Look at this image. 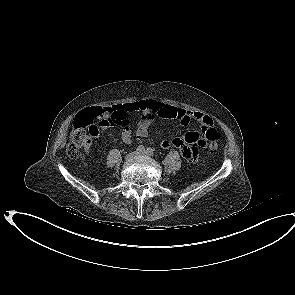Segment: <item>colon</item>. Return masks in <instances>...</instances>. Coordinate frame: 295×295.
I'll list each match as a JSON object with an SVG mask.
<instances>
[{
    "label": "colon",
    "mask_w": 295,
    "mask_h": 295,
    "mask_svg": "<svg viewBox=\"0 0 295 295\" xmlns=\"http://www.w3.org/2000/svg\"><path fill=\"white\" fill-rule=\"evenodd\" d=\"M109 108H95L78 115L72 125L70 133V141L67 146V155L71 159H77L80 156L82 148L87 147L91 140L98 135V127L96 122L100 121L102 116L110 114ZM206 143L211 153H215L218 149V132L212 126L203 128Z\"/></svg>",
    "instance_id": "colon-1"
}]
</instances>
